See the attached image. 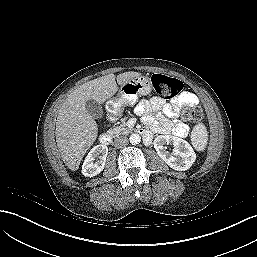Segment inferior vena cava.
Listing matches in <instances>:
<instances>
[{
    "label": "inferior vena cava",
    "instance_id": "obj_1",
    "mask_svg": "<svg viewBox=\"0 0 257 257\" xmlns=\"http://www.w3.org/2000/svg\"><path fill=\"white\" fill-rule=\"evenodd\" d=\"M127 144H128V138L126 136H120L114 140V146L117 148H122Z\"/></svg>",
    "mask_w": 257,
    "mask_h": 257
}]
</instances>
